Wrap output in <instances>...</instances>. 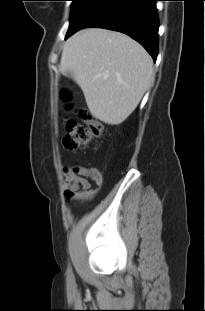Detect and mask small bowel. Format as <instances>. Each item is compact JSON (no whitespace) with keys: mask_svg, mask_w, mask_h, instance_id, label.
<instances>
[{"mask_svg":"<svg viewBox=\"0 0 205 311\" xmlns=\"http://www.w3.org/2000/svg\"><path fill=\"white\" fill-rule=\"evenodd\" d=\"M91 181L97 186L91 189ZM103 184L102 173L94 167L84 165H73L64 168V195L67 200L79 202L89 201Z\"/></svg>","mask_w":205,"mask_h":311,"instance_id":"c3829d8e","label":"small bowel"}]
</instances>
